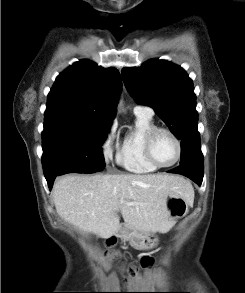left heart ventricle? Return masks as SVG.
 <instances>
[{
	"label": "left heart ventricle",
	"instance_id": "left-heart-ventricle-1",
	"mask_svg": "<svg viewBox=\"0 0 245 293\" xmlns=\"http://www.w3.org/2000/svg\"><path fill=\"white\" fill-rule=\"evenodd\" d=\"M177 154L176 145L167 133H159L153 142V155L161 164L171 163Z\"/></svg>",
	"mask_w": 245,
	"mask_h": 293
}]
</instances>
